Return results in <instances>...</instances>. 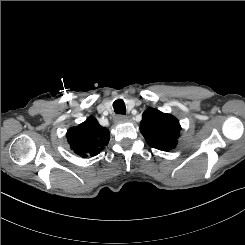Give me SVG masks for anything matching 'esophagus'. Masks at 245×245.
I'll return each instance as SVG.
<instances>
[{
  "label": "esophagus",
  "mask_w": 245,
  "mask_h": 245,
  "mask_svg": "<svg viewBox=\"0 0 245 245\" xmlns=\"http://www.w3.org/2000/svg\"><path fill=\"white\" fill-rule=\"evenodd\" d=\"M115 120L117 122H124V121H127L128 120V117L125 116V115H118V116H116Z\"/></svg>",
  "instance_id": "34e87169"
}]
</instances>
